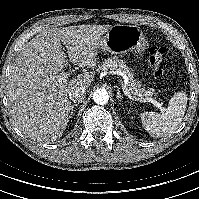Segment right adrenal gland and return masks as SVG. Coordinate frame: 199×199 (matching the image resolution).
Returning <instances> with one entry per match:
<instances>
[{"label": "right adrenal gland", "instance_id": "obj_1", "mask_svg": "<svg viewBox=\"0 0 199 199\" xmlns=\"http://www.w3.org/2000/svg\"><path fill=\"white\" fill-rule=\"evenodd\" d=\"M78 105H79V102L72 105L69 118H72L74 116L75 114L74 108L77 107Z\"/></svg>", "mask_w": 199, "mask_h": 199}]
</instances>
